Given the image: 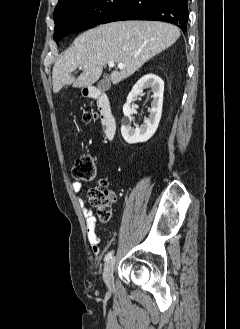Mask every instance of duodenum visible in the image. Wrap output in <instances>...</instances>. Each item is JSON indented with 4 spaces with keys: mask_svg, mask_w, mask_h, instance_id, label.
I'll list each match as a JSON object with an SVG mask.
<instances>
[{
    "mask_svg": "<svg viewBox=\"0 0 240 329\" xmlns=\"http://www.w3.org/2000/svg\"><path fill=\"white\" fill-rule=\"evenodd\" d=\"M87 95L97 100L104 135L107 139H113L116 134L117 123L109 96L95 87H89L87 89Z\"/></svg>",
    "mask_w": 240,
    "mask_h": 329,
    "instance_id": "obj_1",
    "label": "duodenum"
}]
</instances>
